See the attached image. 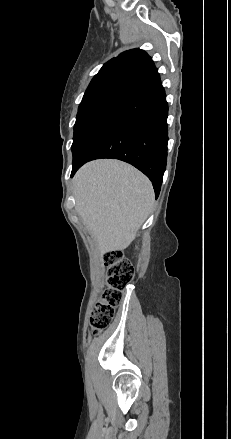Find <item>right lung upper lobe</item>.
Segmentation results:
<instances>
[{"mask_svg":"<svg viewBox=\"0 0 231 439\" xmlns=\"http://www.w3.org/2000/svg\"><path fill=\"white\" fill-rule=\"evenodd\" d=\"M159 81L150 56L140 49L128 50L103 65L90 82L80 105L111 95H135Z\"/></svg>","mask_w":231,"mask_h":439,"instance_id":"obj_1","label":"right lung upper lobe"}]
</instances>
